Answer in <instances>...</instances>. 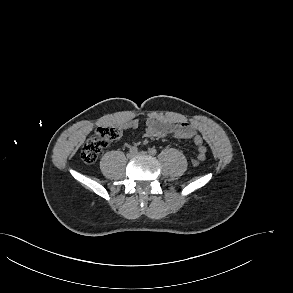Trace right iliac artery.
<instances>
[{"label": "right iliac artery", "mask_w": 293, "mask_h": 293, "mask_svg": "<svg viewBox=\"0 0 293 293\" xmlns=\"http://www.w3.org/2000/svg\"><path fill=\"white\" fill-rule=\"evenodd\" d=\"M130 152H137L138 151V149H137V147H135V146H132V147H130Z\"/></svg>", "instance_id": "obj_1"}]
</instances>
